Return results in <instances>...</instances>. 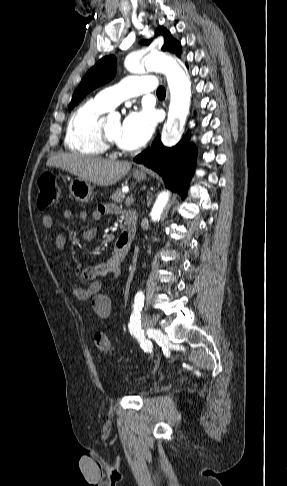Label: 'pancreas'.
Instances as JSON below:
<instances>
[{
    "label": "pancreas",
    "mask_w": 287,
    "mask_h": 486,
    "mask_svg": "<svg viewBox=\"0 0 287 486\" xmlns=\"http://www.w3.org/2000/svg\"><path fill=\"white\" fill-rule=\"evenodd\" d=\"M111 200L116 202V203H122L123 199L125 198L124 193L121 191V189H117L112 195H111Z\"/></svg>",
    "instance_id": "obj_1"
}]
</instances>
